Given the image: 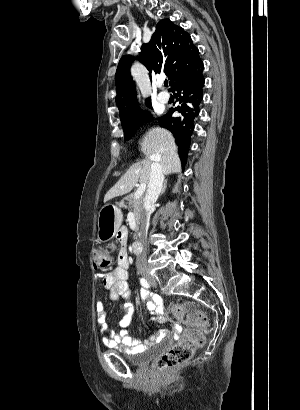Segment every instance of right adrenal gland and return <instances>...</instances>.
<instances>
[{
  "label": "right adrenal gland",
  "instance_id": "right-adrenal-gland-1",
  "mask_svg": "<svg viewBox=\"0 0 300 410\" xmlns=\"http://www.w3.org/2000/svg\"><path fill=\"white\" fill-rule=\"evenodd\" d=\"M167 188V179L164 181V184L162 186L161 194H164Z\"/></svg>",
  "mask_w": 300,
  "mask_h": 410
}]
</instances>
